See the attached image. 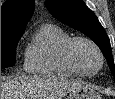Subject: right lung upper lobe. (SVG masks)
<instances>
[{
  "mask_svg": "<svg viewBox=\"0 0 115 99\" xmlns=\"http://www.w3.org/2000/svg\"><path fill=\"white\" fill-rule=\"evenodd\" d=\"M33 11V0H8L1 7V35L23 34Z\"/></svg>",
  "mask_w": 115,
  "mask_h": 99,
  "instance_id": "1",
  "label": "right lung upper lobe"
}]
</instances>
